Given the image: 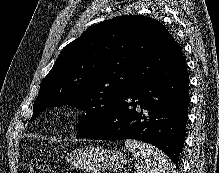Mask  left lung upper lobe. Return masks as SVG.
<instances>
[{
  "label": "left lung upper lobe",
  "instance_id": "obj_1",
  "mask_svg": "<svg viewBox=\"0 0 219 173\" xmlns=\"http://www.w3.org/2000/svg\"><path fill=\"white\" fill-rule=\"evenodd\" d=\"M150 17L119 16L88 28L63 48L43 79L34 120L47 107L68 104L86 111L77 137L95 132L133 86L135 67L169 35Z\"/></svg>",
  "mask_w": 219,
  "mask_h": 173
}]
</instances>
